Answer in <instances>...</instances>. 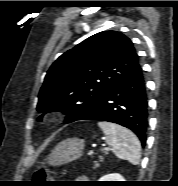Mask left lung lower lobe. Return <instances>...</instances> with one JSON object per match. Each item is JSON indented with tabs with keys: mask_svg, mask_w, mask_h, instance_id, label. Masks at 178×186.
<instances>
[{
	"mask_svg": "<svg viewBox=\"0 0 178 186\" xmlns=\"http://www.w3.org/2000/svg\"><path fill=\"white\" fill-rule=\"evenodd\" d=\"M77 120H99L122 125L131 129L144 146L148 100L141 66L118 81L96 105L74 119Z\"/></svg>",
	"mask_w": 178,
	"mask_h": 186,
	"instance_id": "1",
	"label": "left lung lower lobe"
}]
</instances>
